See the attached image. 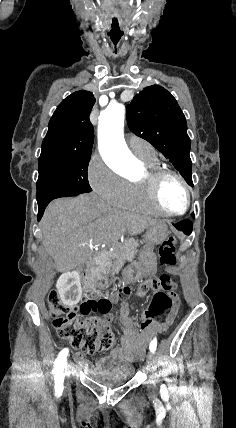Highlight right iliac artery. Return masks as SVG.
<instances>
[{
    "mask_svg": "<svg viewBox=\"0 0 236 428\" xmlns=\"http://www.w3.org/2000/svg\"><path fill=\"white\" fill-rule=\"evenodd\" d=\"M68 348H64L58 355L57 359L54 362L53 373L54 374H63L64 368L66 366Z\"/></svg>",
    "mask_w": 236,
    "mask_h": 428,
    "instance_id": "obj_1",
    "label": "right iliac artery"
}]
</instances>
